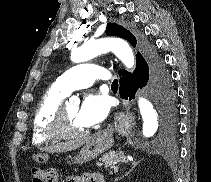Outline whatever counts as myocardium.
I'll list each match as a JSON object with an SVG mask.
<instances>
[{"instance_id":"obj_1","label":"myocardium","mask_w":211,"mask_h":182,"mask_svg":"<svg viewBox=\"0 0 211 182\" xmlns=\"http://www.w3.org/2000/svg\"><path fill=\"white\" fill-rule=\"evenodd\" d=\"M64 107L65 106L63 104H60L56 109L49 125V133L57 139L68 140L81 139L87 136L89 133L87 129L77 132H72L69 130L66 122Z\"/></svg>"}]
</instances>
